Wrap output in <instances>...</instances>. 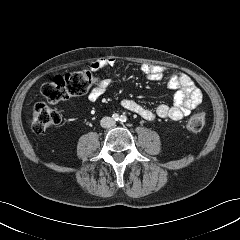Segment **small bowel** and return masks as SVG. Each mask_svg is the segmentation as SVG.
<instances>
[{
  "instance_id": "c3829d8e",
  "label": "small bowel",
  "mask_w": 240,
  "mask_h": 240,
  "mask_svg": "<svg viewBox=\"0 0 240 240\" xmlns=\"http://www.w3.org/2000/svg\"><path fill=\"white\" fill-rule=\"evenodd\" d=\"M115 64V58L106 57L91 62L88 67L92 71H98L112 68ZM140 71L151 81H162L167 77L168 85L176 90L172 105L159 104L154 109L148 108L130 98H125L121 101L123 108L139 115L143 119L148 121H152L156 118L180 120L189 115L190 112L201 103L202 92L188 75L181 72L169 71L164 67L152 64H142L140 66ZM111 84L112 80L110 78H102L91 89L88 99L92 102L97 101L107 91Z\"/></svg>"
}]
</instances>
